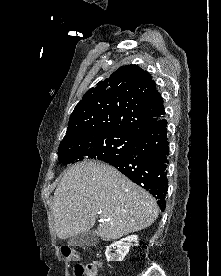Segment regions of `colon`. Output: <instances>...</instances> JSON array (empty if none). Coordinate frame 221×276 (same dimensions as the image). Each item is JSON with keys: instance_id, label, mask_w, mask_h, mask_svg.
Masks as SVG:
<instances>
[{"instance_id": "colon-1", "label": "colon", "mask_w": 221, "mask_h": 276, "mask_svg": "<svg viewBox=\"0 0 221 276\" xmlns=\"http://www.w3.org/2000/svg\"><path fill=\"white\" fill-rule=\"evenodd\" d=\"M62 255L66 261L78 262L79 255L78 252L69 247H64L62 249ZM100 270V265L98 263H92L87 266H82L77 264L74 270V276H97Z\"/></svg>"}]
</instances>
